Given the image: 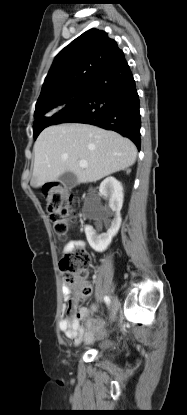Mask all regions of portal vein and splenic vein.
<instances>
[{
    "label": "portal vein and splenic vein",
    "instance_id": "18ae733b",
    "mask_svg": "<svg viewBox=\"0 0 187 415\" xmlns=\"http://www.w3.org/2000/svg\"><path fill=\"white\" fill-rule=\"evenodd\" d=\"M79 165H80V167H82V168H86V167L88 166V163H87V161H86V160H80V161H79Z\"/></svg>",
    "mask_w": 187,
    "mask_h": 415
}]
</instances>
